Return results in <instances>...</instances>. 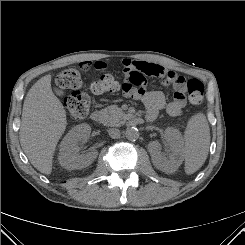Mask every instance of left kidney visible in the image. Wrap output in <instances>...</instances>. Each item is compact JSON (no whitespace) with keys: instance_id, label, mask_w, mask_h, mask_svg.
Here are the masks:
<instances>
[{"instance_id":"1","label":"left kidney","mask_w":245,"mask_h":245,"mask_svg":"<svg viewBox=\"0 0 245 245\" xmlns=\"http://www.w3.org/2000/svg\"><path fill=\"white\" fill-rule=\"evenodd\" d=\"M164 138L169 147V153L161 152L160 143L158 141L150 142L148 144V151L155 167L164 172H174L183 162V138L177 129L171 127L165 130Z\"/></svg>"}]
</instances>
